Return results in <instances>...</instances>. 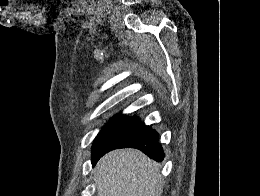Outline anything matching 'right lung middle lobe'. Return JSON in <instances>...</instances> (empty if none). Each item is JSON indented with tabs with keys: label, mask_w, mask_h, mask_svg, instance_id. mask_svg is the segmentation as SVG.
<instances>
[{
	"label": "right lung middle lobe",
	"mask_w": 260,
	"mask_h": 196,
	"mask_svg": "<svg viewBox=\"0 0 260 196\" xmlns=\"http://www.w3.org/2000/svg\"><path fill=\"white\" fill-rule=\"evenodd\" d=\"M146 128L137 117H112L103 127L93 143L92 151H103L118 146L125 140Z\"/></svg>",
	"instance_id": "1"
}]
</instances>
